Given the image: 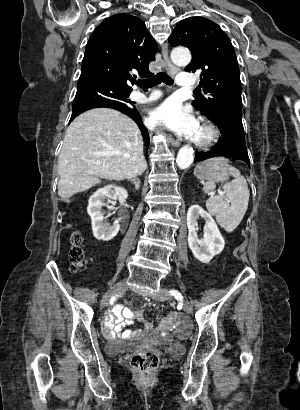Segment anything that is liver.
I'll return each instance as SVG.
<instances>
[{
	"instance_id": "6515ba94",
	"label": "liver",
	"mask_w": 300,
	"mask_h": 410,
	"mask_svg": "<svg viewBox=\"0 0 300 410\" xmlns=\"http://www.w3.org/2000/svg\"><path fill=\"white\" fill-rule=\"evenodd\" d=\"M146 168L136 123L119 111L95 108L67 128L58 158V195L67 201L100 183V178L129 179Z\"/></svg>"
}]
</instances>
